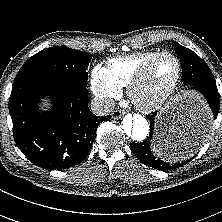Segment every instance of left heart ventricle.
<instances>
[{"label":"left heart ventricle","mask_w":222,"mask_h":222,"mask_svg":"<svg viewBox=\"0 0 222 222\" xmlns=\"http://www.w3.org/2000/svg\"><path fill=\"white\" fill-rule=\"evenodd\" d=\"M177 65L173 58H160L152 67L149 76L140 89L144 99H150L163 91L174 79Z\"/></svg>","instance_id":"b2bd125f"}]
</instances>
